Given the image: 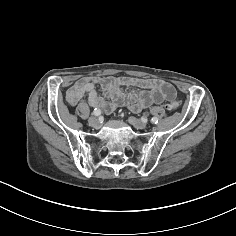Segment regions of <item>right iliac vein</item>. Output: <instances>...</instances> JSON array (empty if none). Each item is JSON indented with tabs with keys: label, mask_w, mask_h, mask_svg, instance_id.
<instances>
[{
	"label": "right iliac vein",
	"mask_w": 236,
	"mask_h": 236,
	"mask_svg": "<svg viewBox=\"0 0 236 236\" xmlns=\"http://www.w3.org/2000/svg\"><path fill=\"white\" fill-rule=\"evenodd\" d=\"M88 123H89L90 126L95 127V126L98 125V120H97L96 117H93V116H92V117H90V118L88 119Z\"/></svg>",
	"instance_id": "right-iliac-vein-1"
}]
</instances>
